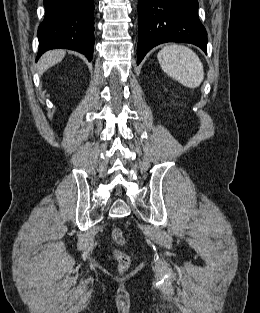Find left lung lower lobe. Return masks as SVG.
<instances>
[{"label": "left lung lower lobe", "instance_id": "left-lung-lower-lobe-1", "mask_svg": "<svg viewBox=\"0 0 260 313\" xmlns=\"http://www.w3.org/2000/svg\"><path fill=\"white\" fill-rule=\"evenodd\" d=\"M197 13V0H138V64L165 42L191 43L206 53L207 33Z\"/></svg>", "mask_w": 260, "mask_h": 313}]
</instances>
